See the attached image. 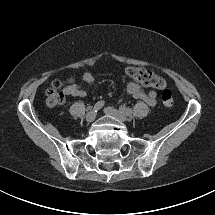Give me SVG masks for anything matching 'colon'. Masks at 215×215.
Returning <instances> with one entry per match:
<instances>
[{
  "instance_id": "obj_1",
  "label": "colon",
  "mask_w": 215,
  "mask_h": 215,
  "mask_svg": "<svg viewBox=\"0 0 215 215\" xmlns=\"http://www.w3.org/2000/svg\"><path fill=\"white\" fill-rule=\"evenodd\" d=\"M125 73L128 77L147 87L162 89L161 93L162 103L167 107L173 105L174 100L172 92L169 89L165 88L166 83L162 77L158 76L151 70L135 66L127 67L125 69ZM62 85H63L62 81L55 80L52 84V87L47 90L46 104L48 106L55 107L61 105L64 102V96L61 92Z\"/></svg>"
}]
</instances>
